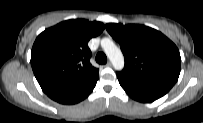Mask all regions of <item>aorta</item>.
<instances>
[{
  "mask_svg": "<svg viewBox=\"0 0 203 123\" xmlns=\"http://www.w3.org/2000/svg\"><path fill=\"white\" fill-rule=\"evenodd\" d=\"M101 46L114 68L116 70H122L124 67V57L121 50L108 38L101 40Z\"/></svg>",
  "mask_w": 203,
  "mask_h": 123,
  "instance_id": "762f6f07",
  "label": "aorta"
}]
</instances>
